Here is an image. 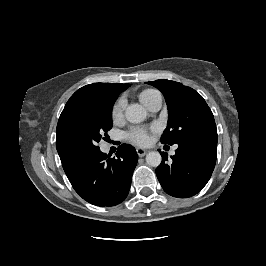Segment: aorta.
<instances>
[{
    "label": "aorta",
    "mask_w": 266,
    "mask_h": 266,
    "mask_svg": "<svg viewBox=\"0 0 266 266\" xmlns=\"http://www.w3.org/2000/svg\"><path fill=\"white\" fill-rule=\"evenodd\" d=\"M147 112L140 104H131L125 111L126 119L131 123H140L145 120ZM162 157L159 152L151 151L146 155V163L149 166L157 167L160 165Z\"/></svg>",
    "instance_id": "762f6f07"
}]
</instances>
